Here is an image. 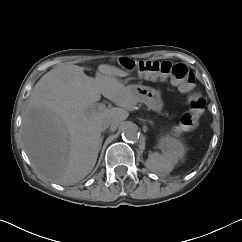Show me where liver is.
Listing matches in <instances>:
<instances>
[{
    "instance_id": "1",
    "label": "liver",
    "mask_w": 242,
    "mask_h": 242,
    "mask_svg": "<svg viewBox=\"0 0 242 242\" xmlns=\"http://www.w3.org/2000/svg\"><path fill=\"white\" fill-rule=\"evenodd\" d=\"M128 74L101 64L95 78L77 65L60 66L42 76L31 92L21 126L26 153L40 176L72 185L92 171L101 147V119L113 117L117 129L139 102L132 85L118 79ZM101 94L117 107L89 113Z\"/></svg>"
}]
</instances>
